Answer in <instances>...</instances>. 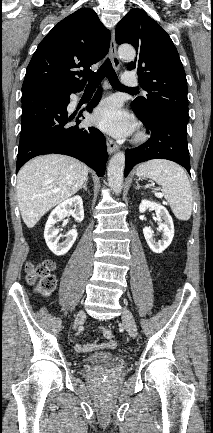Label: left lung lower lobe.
I'll return each mask as SVG.
<instances>
[{
    "instance_id": "1",
    "label": "left lung lower lobe",
    "mask_w": 213,
    "mask_h": 433,
    "mask_svg": "<svg viewBox=\"0 0 213 433\" xmlns=\"http://www.w3.org/2000/svg\"><path fill=\"white\" fill-rule=\"evenodd\" d=\"M134 111V110H133ZM142 121L151 138L139 147L125 152V177L138 163L151 159H168L182 165L190 174L189 150L186 128L188 121L172 113L142 116Z\"/></svg>"
}]
</instances>
